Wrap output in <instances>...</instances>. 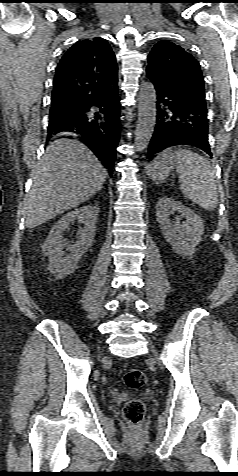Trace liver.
Returning <instances> with one entry per match:
<instances>
[{
    "instance_id": "6515ba94",
    "label": "liver",
    "mask_w": 238,
    "mask_h": 476,
    "mask_svg": "<svg viewBox=\"0 0 238 476\" xmlns=\"http://www.w3.org/2000/svg\"><path fill=\"white\" fill-rule=\"evenodd\" d=\"M107 175L83 143L55 140L32 171V186L25 200L26 227H37L85 202L102 189Z\"/></svg>"
}]
</instances>
